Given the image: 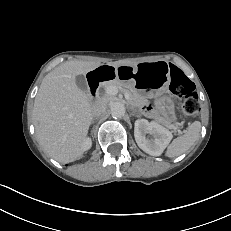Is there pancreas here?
Instances as JSON below:
<instances>
[{
	"label": "pancreas",
	"mask_w": 231,
	"mask_h": 231,
	"mask_svg": "<svg viewBox=\"0 0 231 231\" xmlns=\"http://www.w3.org/2000/svg\"><path fill=\"white\" fill-rule=\"evenodd\" d=\"M109 86H115L117 89L123 93H128L130 98H129V103L133 106H140L142 104V98L141 96L137 93L136 89L132 85L131 82H125L121 80H113L108 83L104 84L105 89ZM160 122L164 123L160 118L158 119ZM166 125H169L168 123H164Z\"/></svg>",
	"instance_id": "pancreas-1"
}]
</instances>
